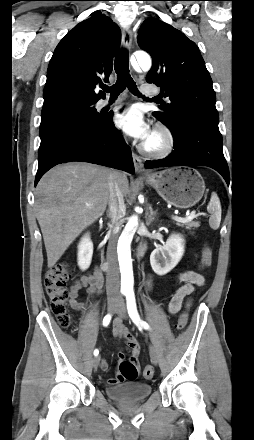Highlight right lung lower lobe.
<instances>
[{"mask_svg":"<svg viewBox=\"0 0 254 440\" xmlns=\"http://www.w3.org/2000/svg\"><path fill=\"white\" fill-rule=\"evenodd\" d=\"M82 161L134 173L131 149L115 128L112 114L99 115L92 127L70 129L53 137L39 148L35 186L53 166Z\"/></svg>","mask_w":254,"mask_h":440,"instance_id":"1","label":"right lung lower lobe"}]
</instances>
